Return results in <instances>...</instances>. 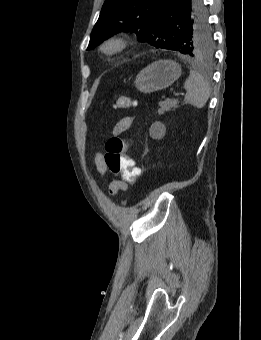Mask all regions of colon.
<instances>
[{
    "label": "colon",
    "mask_w": 261,
    "mask_h": 340,
    "mask_svg": "<svg viewBox=\"0 0 261 340\" xmlns=\"http://www.w3.org/2000/svg\"><path fill=\"white\" fill-rule=\"evenodd\" d=\"M134 104L133 100L129 97H119L115 104V108H128ZM128 141L112 137L108 139L105 144L104 161L107 167L116 174H120L122 181L126 184L135 185L141 174L139 168L134 165V161L125 155Z\"/></svg>",
    "instance_id": "1"
}]
</instances>
